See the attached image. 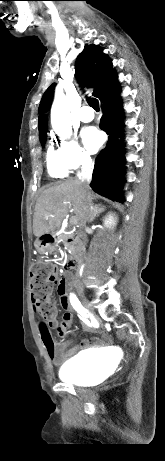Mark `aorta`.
I'll return each mask as SVG.
<instances>
[{
	"instance_id": "1",
	"label": "aorta",
	"mask_w": 165,
	"mask_h": 461,
	"mask_svg": "<svg viewBox=\"0 0 165 461\" xmlns=\"http://www.w3.org/2000/svg\"><path fill=\"white\" fill-rule=\"evenodd\" d=\"M51 125L61 137H69L72 133L70 109L67 98L57 92L51 107Z\"/></svg>"
}]
</instances>
